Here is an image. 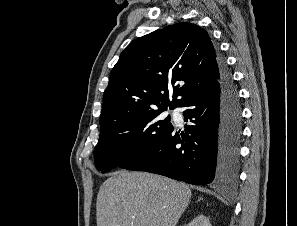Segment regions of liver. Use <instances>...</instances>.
Listing matches in <instances>:
<instances>
[{"instance_id": "1", "label": "liver", "mask_w": 297, "mask_h": 226, "mask_svg": "<svg viewBox=\"0 0 297 226\" xmlns=\"http://www.w3.org/2000/svg\"><path fill=\"white\" fill-rule=\"evenodd\" d=\"M191 196L187 185L167 177L116 171L99 189L97 226H176Z\"/></svg>"}]
</instances>
